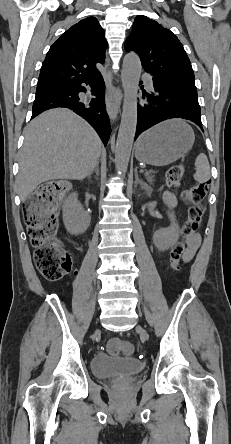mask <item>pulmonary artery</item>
<instances>
[{
    "label": "pulmonary artery",
    "mask_w": 231,
    "mask_h": 444,
    "mask_svg": "<svg viewBox=\"0 0 231 444\" xmlns=\"http://www.w3.org/2000/svg\"><path fill=\"white\" fill-rule=\"evenodd\" d=\"M142 80L146 83V85H148L149 88H152V80L149 76H142Z\"/></svg>",
    "instance_id": "1"
}]
</instances>
